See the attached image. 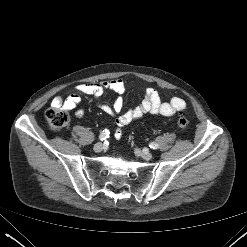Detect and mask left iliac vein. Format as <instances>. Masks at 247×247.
Segmentation results:
<instances>
[{
  "mask_svg": "<svg viewBox=\"0 0 247 247\" xmlns=\"http://www.w3.org/2000/svg\"><path fill=\"white\" fill-rule=\"evenodd\" d=\"M140 156L145 160H150L152 158V154L148 150H139Z\"/></svg>",
  "mask_w": 247,
  "mask_h": 247,
  "instance_id": "1",
  "label": "left iliac vein"
}]
</instances>
